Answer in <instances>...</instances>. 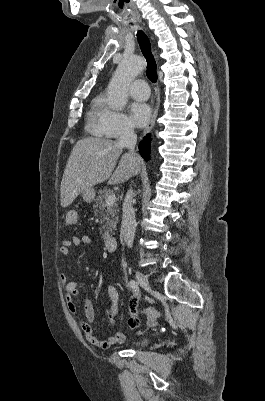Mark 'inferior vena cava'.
<instances>
[{
	"mask_svg": "<svg viewBox=\"0 0 265 401\" xmlns=\"http://www.w3.org/2000/svg\"><path fill=\"white\" fill-rule=\"evenodd\" d=\"M136 142L137 134H135L132 124H124V128L119 136V144H121V146H126V148H130L132 158H136L134 154ZM132 198L133 190L132 188H129V190H127L126 192L122 209V231L124 241L127 247H130V249L133 245L136 229L135 213L132 207Z\"/></svg>",
	"mask_w": 265,
	"mask_h": 401,
	"instance_id": "1",
	"label": "inferior vena cava"
}]
</instances>
